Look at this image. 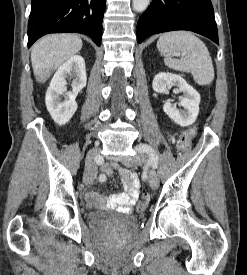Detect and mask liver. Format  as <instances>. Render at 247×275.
Here are the masks:
<instances>
[{
    "instance_id": "liver-1",
    "label": "liver",
    "mask_w": 247,
    "mask_h": 275,
    "mask_svg": "<svg viewBox=\"0 0 247 275\" xmlns=\"http://www.w3.org/2000/svg\"><path fill=\"white\" fill-rule=\"evenodd\" d=\"M82 45V40L74 34H53L40 39L31 50V63L37 80L46 78L59 65L77 54Z\"/></svg>"
}]
</instances>
